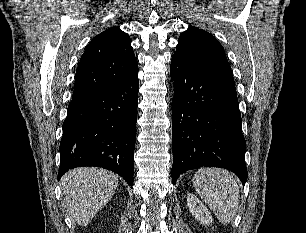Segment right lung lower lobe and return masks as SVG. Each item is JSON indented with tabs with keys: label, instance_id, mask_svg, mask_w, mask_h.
<instances>
[{
	"label": "right lung lower lobe",
	"instance_id": "98d812e1",
	"mask_svg": "<svg viewBox=\"0 0 306 233\" xmlns=\"http://www.w3.org/2000/svg\"><path fill=\"white\" fill-rule=\"evenodd\" d=\"M138 67L117 85L72 99L63 123L58 179L69 169L112 170L133 186Z\"/></svg>",
	"mask_w": 306,
	"mask_h": 233
}]
</instances>
